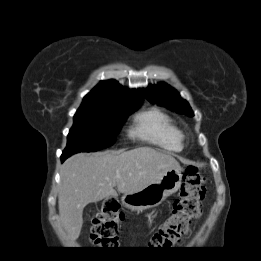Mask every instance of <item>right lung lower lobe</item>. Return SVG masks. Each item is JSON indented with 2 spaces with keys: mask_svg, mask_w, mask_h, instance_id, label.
<instances>
[{
  "mask_svg": "<svg viewBox=\"0 0 261 261\" xmlns=\"http://www.w3.org/2000/svg\"><path fill=\"white\" fill-rule=\"evenodd\" d=\"M71 155H61V162H64L65 159H67L68 157H70Z\"/></svg>",
  "mask_w": 261,
  "mask_h": 261,
  "instance_id": "1",
  "label": "right lung lower lobe"
}]
</instances>
